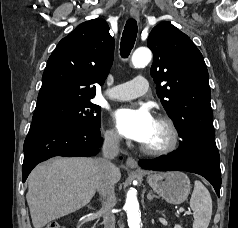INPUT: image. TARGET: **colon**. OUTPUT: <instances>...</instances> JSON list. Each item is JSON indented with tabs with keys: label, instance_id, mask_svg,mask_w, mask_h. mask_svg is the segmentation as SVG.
Instances as JSON below:
<instances>
[{
	"label": "colon",
	"instance_id": "colon-1",
	"mask_svg": "<svg viewBox=\"0 0 238 228\" xmlns=\"http://www.w3.org/2000/svg\"><path fill=\"white\" fill-rule=\"evenodd\" d=\"M46 228H62V225L59 222H51Z\"/></svg>",
	"mask_w": 238,
	"mask_h": 228
}]
</instances>
